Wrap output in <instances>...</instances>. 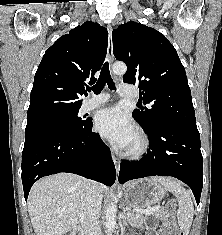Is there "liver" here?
Wrapping results in <instances>:
<instances>
[{"instance_id":"1","label":"liver","mask_w":222,"mask_h":235,"mask_svg":"<svg viewBox=\"0 0 222 235\" xmlns=\"http://www.w3.org/2000/svg\"><path fill=\"white\" fill-rule=\"evenodd\" d=\"M88 180L58 173L38 180L28 197V212L36 235H64L75 228L85 207ZM103 193L105 187L100 185Z\"/></svg>"}]
</instances>
